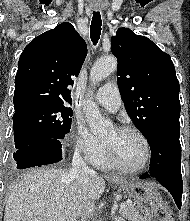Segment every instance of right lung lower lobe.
<instances>
[{
	"instance_id": "obj_1",
	"label": "right lung lower lobe",
	"mask_w": 190,
	"mask_h": 221,
	"mask_svg": "<svg viewBox=\"0 0 190 221\" xmlns=\"http://www.w3.org/2000/svg\"><path fill=\"white\" fill-rule=\"evenodd\" d=\"M13 158L18 169L52 164L62 159L60 139H42L29 146L18 149Z\"/></svg>"
}]
</instances>
